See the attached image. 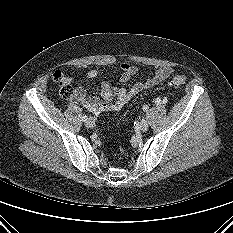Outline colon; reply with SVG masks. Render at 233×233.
Listing matches in <instances>:
<instances>
[{
	"instance_id": "1",
	"label": "colon",
	"mask_w": 233,
	"mask_h": 233,
	"mask_svg": "<svg viewBox=\"0 0 233 233\" xmlns=\"http://www.w3.org/2000/svg\"><path fill=\"white\" fill-rule=\"evenodd\" d=\"M53 81L59 85L60 94L63 98H71L74 94V89L70 82L63 77L60 71H56L53 74ZM186 82V77L184 75H176L171 79L168 85L173 87H178Z\"/></svg>"
}]
</instances>
